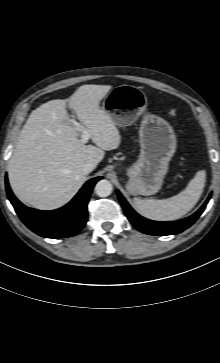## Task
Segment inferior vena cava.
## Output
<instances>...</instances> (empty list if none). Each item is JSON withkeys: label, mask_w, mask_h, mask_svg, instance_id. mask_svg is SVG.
Listing matches in <instances>:
<instances>
[{"label": "inferior vena cava", "mask_w": 220, "mask_h": 363, "mask_svg": "<svg viewBox=\"0 0 220 363\" xmlns=\"http://www.w3.org/2000/svg\"><path fill=\"white\" fill-rule=\"evenodd\" d=\"M95 167H96V164L95 163L90 162V161L89 162H86L82 166V172L85 175H87V174L91 173L95 169Z\"/></svg>", "instance_id": "obj_1"}]
</instances>
